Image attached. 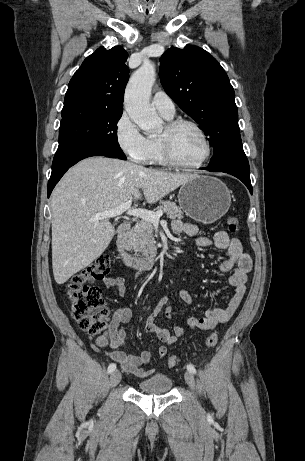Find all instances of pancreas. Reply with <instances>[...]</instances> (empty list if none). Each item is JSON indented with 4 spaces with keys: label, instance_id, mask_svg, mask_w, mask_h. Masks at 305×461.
<instances>
[{
    "label": "pancreas",
    "instance_id": "obj_1",
    "mask_svg": "<svg viewBox=\"0 0 305 461\" xmlns=\"http://www.w3.org/2000/svg\"><path fill=\"white\" fill-rule=\"evenodd\" d=\"M157 211L162 210L170 219H182L183 212L175 202L164 201ZM156 241L154 240L153 224L146 220L139 221L132 229L129 238L125 241L124 249L148 255L156 251Z\"/></svg>",
    "mask_w": 305,
    "mask_h": 461
}]
</instances>
